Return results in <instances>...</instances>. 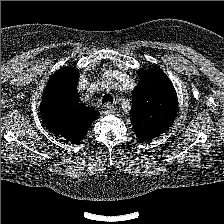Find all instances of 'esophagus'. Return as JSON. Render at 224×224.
Wrapping results in <instances>:
<instances>
[{
    "mask_svg": "<svg viewBox=\"0 0 224 224\" xmlns=\"http://www.w3.org/2000/svg\"><path fill=\"white\" fill-rule=\"evenodd\" d=\"M115 112V107L111 104H107L104 106L103 114L111 115Z\"/></svg>",
    "mask_w": 224,
    "mask_h": 224,
    "instance_id": "34e87169",
    "label": "esophagus"
}]
</instances>
